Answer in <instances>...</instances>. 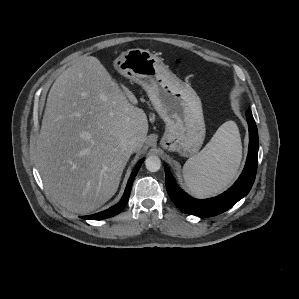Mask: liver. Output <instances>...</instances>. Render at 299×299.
I'll list each match as a JSON object with an SVG mask.
<instances>
[{"label":"liver","mask_w":299,"mask_h":299,"mask_svg":"<svg viewBox=\"0 0 299 299\" xmlns=\"http://www.w3.org/2000/svg\"><path fill=\"white\" fill-rule=\"evenodd\" d=\"M94 56H81L53 83L36 144L50 195L69 211L96 210L116 193L130 158L120 143L146 141L148 119Z\"/></svg>","instance_id":"obj_1"}]
</instances>
